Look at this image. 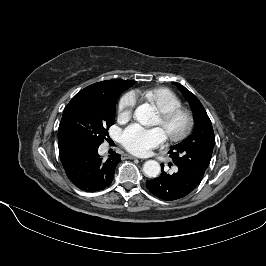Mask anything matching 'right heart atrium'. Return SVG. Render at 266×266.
Instances as JSON below:
<instances>
[{"mask_svg":"<svg viewBox=\"0 0 266 266\" xmlns=\"http://www.w3.org/2000/svg\"><path fill=\"white\" fill-rule=\"evenodd\" d=\"M138 103V94L135 91L125 93L118 105V116L120 119H127L133 113Z\"/></svg>","mask_w":266,"mask_h":266,"instance_id":"d8ad5b80","label":"right heart atrium"}]
</instances>
